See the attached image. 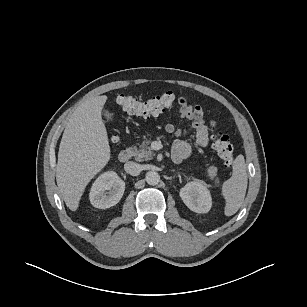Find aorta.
<instances>
[{"label":"aorta","instance_id":"762f6f07","mask_svg":"<svg viewBox=\"0 0 307 307\" xmlns=\"http://www.w3.org/2000/svg\"><path fill=\"white\" fill-rule=\"evenodd\" d=\"M160 181V175L156 171H149L146 173V182L149 185H157Z\"/></svg>","mask_w":307,"mask_h":307}]
</instances>
